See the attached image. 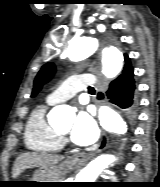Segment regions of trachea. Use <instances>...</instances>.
<instances>
[{
    "mask_svg": "<svg viewBox=\"0 0 160 187\" xmlns=\"http://www.w3.org/2000/svg\"><path fill=\"white\" fill-rule=\"evenodd\" d=\"M88 91H89L90 93L95 92V90H94L93 87H89V88H88Z\"/></svg>",
    "mask_w": 160,
    "mask_h": 187,
    "instance_id": "trachea-1",
    "label": "trachea"
}]
</instances>
